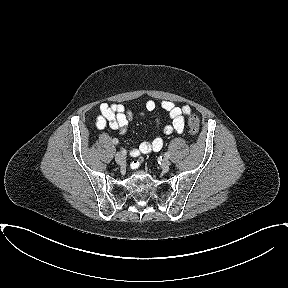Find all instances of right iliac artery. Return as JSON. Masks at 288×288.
<instances>
[{"mask_svg": "<svg viewBox=\"0 0 288 288\" xmlns=\"http://www.w3.org/2000/svg\"><path fill=\"white\" fill-rule=\"evenodd\" d=\"M112 142L116 145L119 143L118 139H116V138H114Z\"/></svg>", "mask_w": 288, "mask_h": 288, "instance_id": "right-iliac-artery-1", "label": "right iliac artery"}]
</instances>
